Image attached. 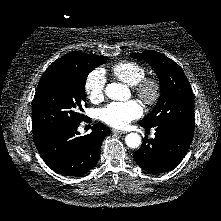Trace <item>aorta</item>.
Returning <instances> with one entry per match:
<instances>
[{
    "mask_svg": "<svg viewBox=\"0 0 221 221\" xmlns=\"http://www.w3.org/2000/svg\"><path fill=\"white\" fill-rule=\"evenodd\" d=\"M105 93L112 100H126L130 96L129 89L124 84L110 83L105 88ZM126 145L129 148H138L141 144V137L137 133H129L125 137Z\"/></svg>",
    "mask_w": 221,
    "mask_h": 221,
    "instance_id": "aorta-1",
    "label": "aorta"
}]
</instances>
